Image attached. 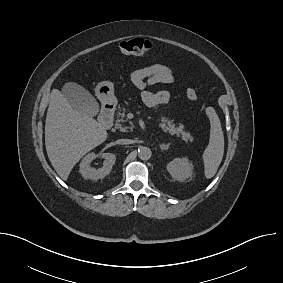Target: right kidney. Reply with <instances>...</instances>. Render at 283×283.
<instances>
[{"instance_id": "right-kidney-1", "label": "right kidney", "mask_w": 283, "mask_h": 283, "mask_svg": "<svg viewBox=\"0 0 283 283\" xmlns=\"http://www.w3.org/2000/svg\"><path fill=\"white\" fill-rule=\"evenodd\" d=\"M98 155L89 153L86 155L80 163V173L84 179H103L106 175H108L115 164L116 157L112 153H103L100 156L104 158L103 166L99 169H94L91 167V162L97 157Z\"/></svg>"}]
</instances>
